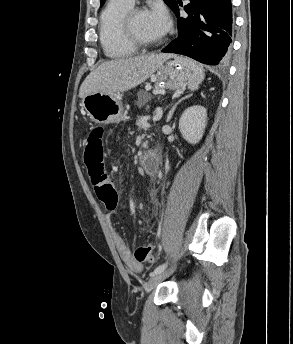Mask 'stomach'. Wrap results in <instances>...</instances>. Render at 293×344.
Returning <instances> with one entry per match:
<instances>
[{"label":"stomach","mask_w":293,"mask_h":344,"mask_svg":"<svg viewBox=\"0 0 293 344\" xmlns=\"http://www.w3.org/2000/svg\"><path fill=\"white\" fill-rule=\"evenodd\" d=\"M192 76L191 67L183 60H166L150 76L156 88L178 90ZM82 107L91 120L99 124L117 123L124 118V109L119 93H92L82 99Z\"/></svg>","instance_id":"0dacf381"}]
</instances>
